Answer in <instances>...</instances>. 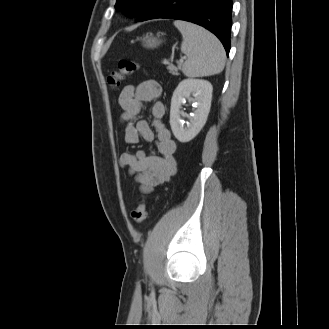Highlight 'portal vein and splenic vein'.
Masks as SVG:
<instances>
[{"label": "portal vein and splenic vein", "mask_w": 329, "mask_h": 329, "mask_svg": "<svg viewBox=\"0 0 329 329\" xmlns=\"http://www.w3.org/2000/svg\"><path fill=\"white\" fill-rule=\"evenodd\" d=\"M185 59H186V57L182 58V59L180 60V62H183Z\"/></svg>", "instance_id": "portal-vein-and-splenic-vein-1"}]
</instances>
